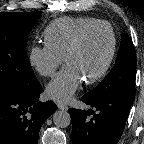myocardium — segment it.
Listing matches in <instances>:
<instances>
[{"label":"myocardium","instance_id":"1","mask_svg":"<svg viewBox=\"0 0 144 144\" xmlns=\"http://www.w3.org/2000/svg\"><path fill=\"white\" fill-rule=\"evenodd\" d=\"M100 27H107L110 30L111 37H112L111 50H110V53L107 57V60L105 61L104 65L100 69V71L98 73H96L94 76L84 80V82L86 84H93V83H96L99 80H101L106 75V73L108 72V70H109V68H110V66L114 60L116 50H117V36H116V33H115L113 26L109 22L98 21L96 23H93V24H90V25L84 27L75 36V38L73 39V41L69 45V47L66 50V53L64 55V61L67 63L69 58L71 57V55L78 49V47L80 46V44L82 43V41L84 40L86 35L89 32H91L97 28H100Z\"/></svg>","mask_w":144,"mask_h":144}]
</instances>
